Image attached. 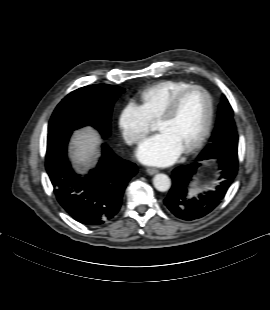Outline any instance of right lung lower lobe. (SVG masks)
I'll return each mask as SVG.
<instances>
[{
    "instance_id": "right-lung-lower-lobe-1",
    "label": "right lung lower lobe",
    "mask_w": 270,
    "mask_h": 310,
    "mask_svg": "<svg viewBox=\"0 0 270 310\" xmlns=\"http://www.w3.org/2000/svg\"><path fill=\"white\" fill-rule=\"evenodd\" d=\"M70 135L48 133L46 170L60 205L76 221L100 225L119 211L128 181L137 173V166L115 155L102 145V157L87 177L75 174L67 160Z\"/></svg>"
}]
</instances>
